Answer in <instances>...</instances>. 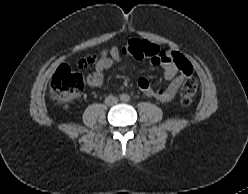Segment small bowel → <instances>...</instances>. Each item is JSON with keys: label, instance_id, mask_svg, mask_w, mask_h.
<instances>
[{"label": "small bowel", "instance_id": "c3829d8e", "mask_svg": "<svg viewBox=\"0 0 248 194\" xmlns=\"http://www.w3.org/2000/svg\"><path fill=\"white\" fill-rule=\"evenodd\" d=\"M124 54H131V42L123 48L112 47L109 50H102L95 66V71L87 79L88 85L93 88L102 87L104 84V72L114 63L121 62ZM175 55L176 53L158 48L157 52L152 56L153 64L162 67L164 76L170 79L171 82L164 89L155 88L146 77L141 76L138 79V86L146 96L161 103H168L174 99L187 75L185 68L191 66L183 56H181L182 60L178 61Z\"/></svg>", "mask_w": 248, "mask_h": 194}]
</instances>
